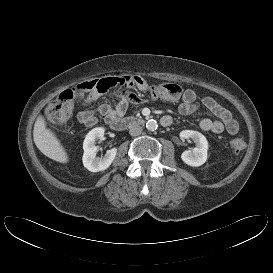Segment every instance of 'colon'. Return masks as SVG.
I'll return each instance as SVG.
<instances>
[{
	"instance_id": "colon-1",
	"label": "colon",
	"mask_w": 273,
	"mask_h": 273,
	"mask_svg": "<svg viewBox=\"0 0 273 273\" xmlns=\"http://www.w3.org/2000/svg\"><path fill=\"white\" fill-rule=\"evenodd\" d=\"M137 82V77L134 76L108 77L82 82L67 89L48 105L46 110L48 125L53 128L64 127L76 103L111 89H115L118 94L124 93L134 87ZM150 92L154 98L176 100L181 96L182 88L176 83H163L153 86ZM129 95L132 97V93ZM229 145L234 152H240L246 147V142L243 137L237 136L230 140Z\"/></svg>"
}]
</instances>
